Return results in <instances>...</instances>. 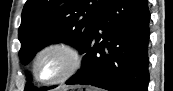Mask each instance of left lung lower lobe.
Instances as JSON below:
<instances>
[{
  "label": "left lung lower lobe",
  "instance_id": "0a47b994",
  "mask_svg": "<svg viewBox=\"0 0 173 91\" xmlns=\"http://www.w3.org/2000/svg\"><path fill=\"white\" fill-rule=\"evenodd\" d=\"M149 22L147 0H108L83 49L82 68L66 84L147 91Z\"/></svg>",
  "mask_w": 173,
  "mask_h": 91
}]
</instances>
